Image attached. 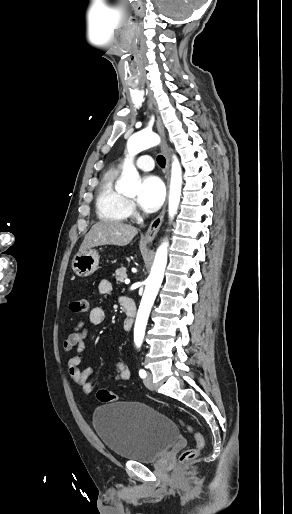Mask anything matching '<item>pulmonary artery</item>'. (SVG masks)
<instances>
[{"mask_svg":"<svg viewBox=\"0 0 292 514\" xmlns=\"http://www.w3.org/2000/svg\"><path fill=\"white\" fill-rule=\"evenodd\" d=\"M138 157L140 160L136 164V169L139 172H152L154 169V164L149 158V154L147 152H140Z\"/></svg>","mask_w":292,"mask_h":514,"instance_id":"pulmonary-artery-1","label":"pulmonary artery"}]
</instances>
